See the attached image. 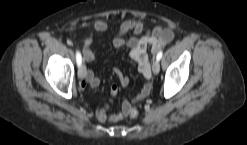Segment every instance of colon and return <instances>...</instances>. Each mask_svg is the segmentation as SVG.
Returning <instances> with one entry per match:
<instances>
[{
    "label": "colon",
    "instance_id": "obj_1",
    "mask_svg": "<svg viewBox=\"0 0 247 145\" xmlns=\"http://www.w3.org/2000/svg\"><path fill=\"white\" fill-rule=\"evenodd\" d=\"M126 115L131 119H135L139 115V110L135 105H130L126 110Z\"/></svg>",
    "mask_w": 247,
    "mask_h": 145
}]
</instances>
